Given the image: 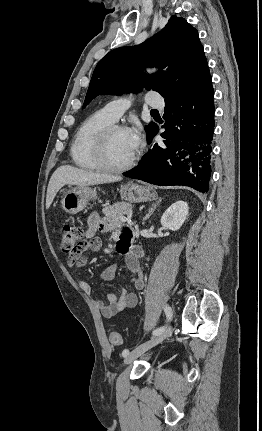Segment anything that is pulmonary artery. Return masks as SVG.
Here are the masks:
<instances>
[{
	"mask_svg": "<svg viewBox=\"0 0 262 431\" xmlns=\"http://www.w3.org/2000/svg\"><path fill=\"white\" fill-rule=\"evenodd\" d=\"M145 101L147 104L153 107L163 108L165 106L164 100L157 93H147L145 95ZM130 105V99L118 98L108 102L103 109L112 120L117 121Z\"/></svg>",
	"mask_w": 262,
	"mask_h": 431,
	"instance_id": "pulmonary-artery-1",
	"label": "pulmonary artery"
}]
</instances>
